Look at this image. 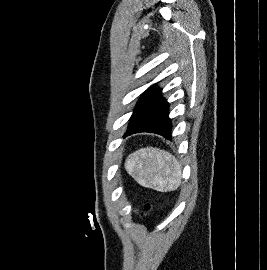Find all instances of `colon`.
I'll use <instances>...</instances> for the list:
<instances>
[{
	"mask_svg": "<svg viewBox=\"0 0 267 270\" xmlns=\"http://www.w3.org/2000/svg\"><path fill=\"white\" fill-rule=\"evenodd\" d=\"M153 210V205L148 203L146 206H145V213L148 214L150 212H152Z\"/></svg>",
	"mask_w": 267,
	"mask_h": 270,
	"instance_id": "5ec220e1",
	"label": "colon"
}]
</instances>
